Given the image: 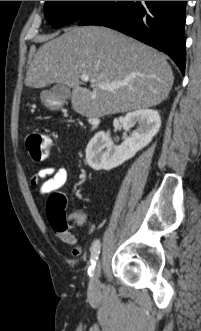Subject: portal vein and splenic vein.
<instances>
[{
  "instance_id": "1",
  "label": "portal vein and splenic vein",
  "mask_w": 201,
  "mask_h": 331,
  "mask_svg": "<svg viewBox=\"0 0 201 331\" xmlns=\"http://www.w3.org/2000/svg\"><path fill=\"white\" fill-rule=\"evenodd\" d=\"M81 80L83 82H88L90 81L92 83L93 86H98L101 89H105V90H113V89H118L120 87L126 86L128 84L127 81H122V82H118V83H113V84H106V83H97L95 80L93 79H89V76L86 74H82L80 76Z\"/></svg>"
}]
</instances>
